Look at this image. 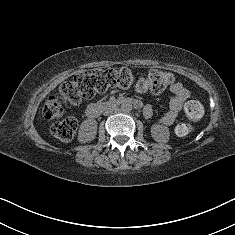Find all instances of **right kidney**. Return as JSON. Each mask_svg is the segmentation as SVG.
Masks as SVG:
<instances>
[{"label":"right kidney","instance_id":"obj_1","mask_svg":"<svg viewBox=\"0 0 235 235\" xmlns=\"http://www.w3.org/2000/svg\"><path fill=\"white\" fill-rule=\"evenodd\" d=\"M89 123L93 124V126L96 127V122L95 121H89Z\"/></svg>","mask_w":235,"mask_h":235}]
</instances>
